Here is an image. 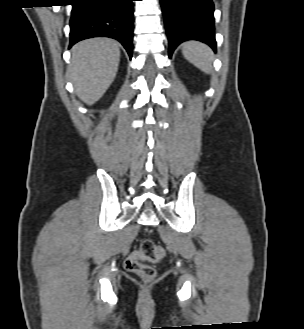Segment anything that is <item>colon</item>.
<instances>
[{
    "instance_id": "obj_1",
    "label": "colon",
    "mask_w": 304,
    "mask_h": 329,
    "mask_svg": "<svg viewBox=\"0 0 304 329\" xmlns=\"http://www.w3.org/2000/svg\"><path fill=\"white\" fill-rule=\"evenodd\" d=\"M165 257V251L161 246L154 244L151 240H144L139 248L132 252L124 261L125 268L137 274L143 281L150 282L156 276L154 267L146 264L158 263Z\"/></svg>"
}]
</instances>
